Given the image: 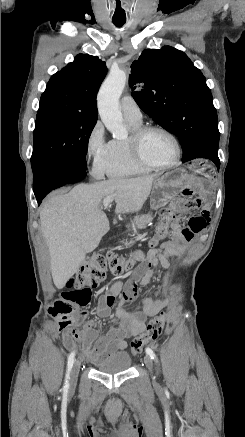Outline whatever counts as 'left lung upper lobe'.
<instances>
[{"label":"left lung upper lobe","mask_w":245,"mask_h":437,"mask_svg":"<svg viewBox=\"0 0 245 437\" xmlns=\"http://www.w3.org/2000/svg\"><path fill=\"white\" fill-rule=\"evenodd\" d=\"M129 85L139 107L179 139L182 161L218 155L212 94L185 53L170 46L144 50L131 65Z\"/></svg>","instance_id":"left-lung-upper-lobe-1"}]
</instances>
